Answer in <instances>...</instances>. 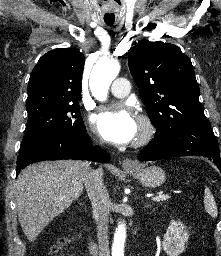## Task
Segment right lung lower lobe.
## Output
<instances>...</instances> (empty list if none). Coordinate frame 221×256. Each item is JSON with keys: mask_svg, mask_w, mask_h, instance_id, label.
I'll return each instance as SVG.
<instances>
[{"mask_svg": "<svg viewBox=\"0 0 221 256\" xmlns=\"http://www.w3.org/2000/svg\"><path fill=\"white\" fill-rule=\"evenodd\" d=\"M78 159L106 163L110 157L100 147H92L86 131L56 132L20 146L17 173L28 164L44 160Z\"/></svg>", "mask_w": 221, "mask_h": 256, "instance_id": "right-lung-lower-lobe-1", "label": "right lung lower lobe"}]
</instances>
